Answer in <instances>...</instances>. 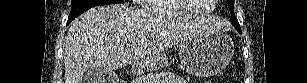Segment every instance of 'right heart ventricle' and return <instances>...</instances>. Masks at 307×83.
Returning <instances> with one entry per match:
<instances>
[{
	"label": "right heart ventricle",
	"mask_w": 307,
	"mask_h": 83,
	"mask_svg": "<svg viewBox=\"0 0 307 83\" xmlns=\"http://www.w3.org/2000/svg\"><path fill=\"white\" fill-rule=\"evenodd\" d=\"M147 7L158 13L192 12L178 0H150Z\"/></svg>",
	"instance_id": "right-heart-ventricle-1"
}]
</instances>
